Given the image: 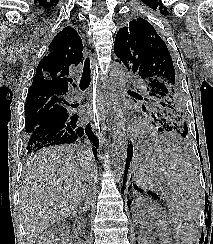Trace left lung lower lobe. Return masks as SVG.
Here are the masks:
<instances>
[{"label": "left lung lower lobe", "mask_w": 213, "mask_h": 244, "mask_svg": "<svg viewBox=\"0 0 213 244\" xmlns=\"http://www.w3.org/2000/svg\"><path fill=\"white\" fill-rule=\"evenodd\" d=\"M158 130L161 131V132L165 131L164 124H160V128ZM132 155H133V146L130 143V146H128V150H127V159H126L124 179H123L124 183H125V179L127 177V172H128V168H129V165H130V160L132 158Z\"/></svg>", "instance_id": "1"}]
</instances>
